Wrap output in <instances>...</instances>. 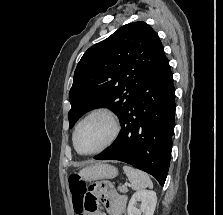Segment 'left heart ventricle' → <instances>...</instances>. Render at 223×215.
I'll return each mask as SVG.
<instances>
[{
    "mask_svg": "<svg viewBox=\"0 0 223 215\" xmlns=\"http://www.w3.org/2000/svg\"><path fill=\"white\" fill-rule=\"evenodd\" d=\"M111 125L103 117H94L84 122L76 134V146L83 153L101 147L109 138Z\"/></svg>",
    "mask_w": 223,
    "mask_h": 215,
    "instance_id": "left-heart-ventricle-1",
    "label": "left heart ventricle"
}]
</instances>
